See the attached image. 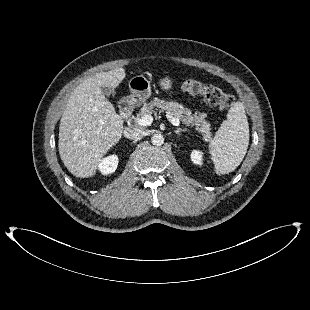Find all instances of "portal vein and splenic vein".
<instances>
[{"instance_id":"portal-vein-and-splenic-vein-1","label":"portal vein and splenic vein","mask_w":310,"mask_h":310,"mask_svg":"<svg viewBox=\"0 0 310 310\" xmlns=\"http://www.w3.org/2000/svg\"><path fill=\"white\" fill-rule=\"evenodd\" d=\"M169 118V121L171 124H173L174 126H179L180 125V120L179 119H176V118H173V117H170L168 116ZM153 122V117L151 114H146L144 115L143 117H141L139 120H138V125L140 126H149L151 125Z\"/></svg>"}]
</instances>
